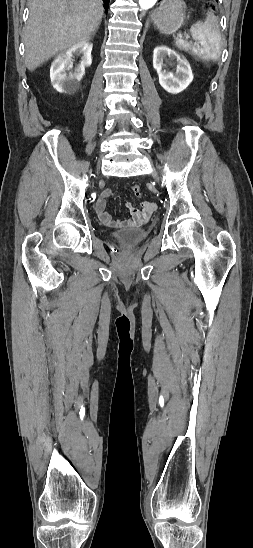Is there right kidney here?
<instances>
[{
	"label": "right kidney",
	"instance_id": "ca27d5eb",
	"mask_svg": "<svg viewBox=\"0 0 253 548\" xmlns=\"http://www.w3.org/2000/svg\"><path fill=\"white\" fill-rule=\"evenodd\" d=\"M92 47V43L88 41L77 43L67 51L60 53L52 62L50 78L53 87L58 92L70 94L78 88L79 82L85 74V68L92 63ZM75 55H82L81 63L74 71L69 72L73 67V57Z\"/></svg>",
	"mask_w": 253,
	"mask_h": 548
}]
</instances>
